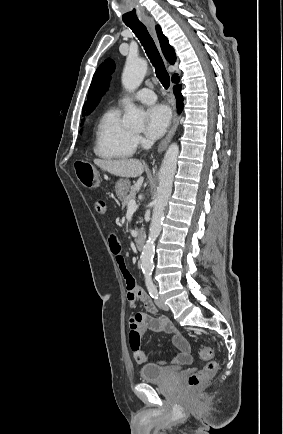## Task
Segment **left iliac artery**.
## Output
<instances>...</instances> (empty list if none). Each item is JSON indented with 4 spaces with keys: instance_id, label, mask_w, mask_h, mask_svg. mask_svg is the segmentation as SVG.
Masks as SVG:
<instances>
[{
    "instance_id": "left-iliac-artery-1",
    "label": "left iliac artery",
    "mask_w": 283,
    "mask_h": 434,
    "mask_svg": "<svg viewBox=\"0 0 283 434\" xmlns=\"http://www.w3.org/2000/svg\"><path fill=\"white\" fill-rule=\"evenodd\" d=\"M145 283H146V286H147V289H148L150 296L154 299H157L158 298V291H157V288L152 281V278L146 277Z\"/></svg>"
}]
</instances>
